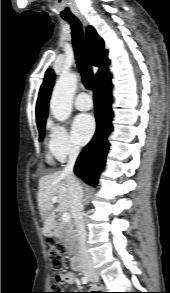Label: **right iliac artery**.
Returning <instances> with one entry per match:
<instances>
[{"label": "right iliac artery", "instance_id": "1", "mask_svg": "<svg viewBox=\"0 0 170 293\" xmlns=\"http://www.w3.org/2000/svg\"><path fill=\"white\" fill-rule=\"evenodd\" d=\"M87 282H88V278H87V277H85V276H84V277H82V283H83V284H86Z\"/></svg>", "mask_w": 170, "mask_h": 293}]
</instances>
